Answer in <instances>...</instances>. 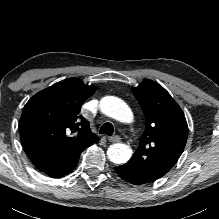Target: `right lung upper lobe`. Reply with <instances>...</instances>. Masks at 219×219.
Returning a JSON list of instances; mask_svg holds the SVG:
<instances>
[{"instance_id":"obj_1","label":"right lung upper lobe","mask_w":219,"mask_h":219,"mask_svg":"<svg viewBox=\"0 0 219 219\" xmlns=\"http://www.w3.org/2000/svg\"><path fill=\"white\" fill-rule=\"evenodd\" d=\"M94 92L93 86L86 89L80 79L70 78L27 102L19 131L23 149L38 170L66 165L99 140L79 114L82 103Z\"/></svg>"}]
</instances>
